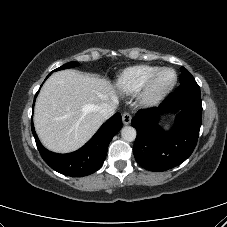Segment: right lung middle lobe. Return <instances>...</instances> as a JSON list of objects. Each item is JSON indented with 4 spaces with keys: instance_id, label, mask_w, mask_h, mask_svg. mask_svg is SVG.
<instances>
[{
    "instance_id": "right-lung-middle-lobe-1",
    "label": "right lung middle lobe",
    "mask_w": 227,
    "mask_h": 227,
    "mask_svg": "<svg viewBox=\"0 0 227 227\" xmlns=\"http://www.w3.org/2000/svg\"><path fill=\"white\" fill-rule=\"evenodd\" d=\"M79 63L78 62H69V63H66L64 64L63 66L59 67L58 69L54 70V71H58V70H62V69H67V68H72V67H75V66H78Z\"/></svg>"
}]
</instances>
